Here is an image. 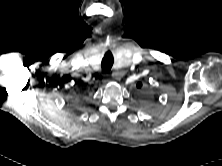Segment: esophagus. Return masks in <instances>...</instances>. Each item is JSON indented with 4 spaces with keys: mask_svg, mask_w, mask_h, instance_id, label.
Returning a JSON list of instances; mask_svg holds the SVG:
<instances>
[{
    "mask_svg": "<svg viewBox=\"0 0 222 166\" xmlns=\"http://www.w3.org/2000/svg\"><path fill=\"white\" fill-rule=\"evenodd\" d=\"M113 76L116 77L117 79L121 78L123 76L122 72H114ZM109 80L107 78L103 79V83H107Z\"/></svg>",
    "mask_w": 222,
    "mask_h": 166,
    "instance_id": "1",
    "label": "esophagus"
}]
</instances>
